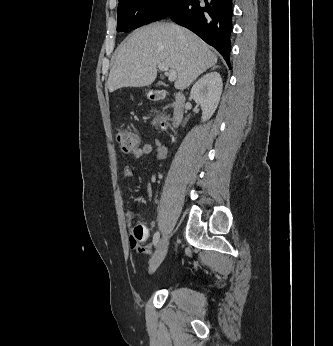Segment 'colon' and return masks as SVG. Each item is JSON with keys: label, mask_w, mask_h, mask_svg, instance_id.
I'll return each instance as SVG.
<instances>
[{"label": "colon", "mask_w": 333, "mask_h": 346, "mask_svg": "<svg viewBox=\"0 0 333 346\" xmlns=\"http://www.w3.org/2000/svg\"><path fill=\"white\" fill-rule=\"evenodd\" d=\"M157 124L164 128L166 122L165 120H159ZM116 138L121 150L125 153H131L140 147V137L133 130L127 128L119 129ZM151 230V226L136 225L132 232H135V235H139L143 242L145 238L150 237Z\"/></svg>", "instance_id": "obj_1"}]
</instances>
